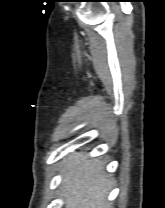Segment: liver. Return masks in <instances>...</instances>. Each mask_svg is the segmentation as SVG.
Wrapping results in <instances>:
<instances>
[{"instance_id": "6515ba94", "label": "liver", "mask_w": 165, "mask_h": 208, "mask_svg": "<svg viewBox=\"0 0 165 208\" xmlns=\"http://www.w3.org/2000/svg\"><path fill=\"white\" fill-rule=\"evenodd\" d=\"M61 172L65 208H111L107 196L113 180L98 159L73 153L63 160Z\"/></svg>"}]
</instances>
